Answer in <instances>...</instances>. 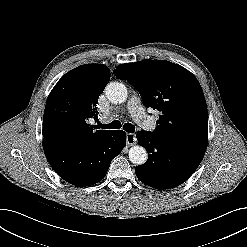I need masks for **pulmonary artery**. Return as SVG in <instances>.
I'll list each match as a JSON object with an SVG mask.
<instances>
[{"label":"pulmonary artery","mask_w":247,"mask_h":247,"mask_svg":"<svg viewBox=\"0 0 247 247\" xmlns=\"http://www.w3.org/2000/svg\"><path fill=\"white\" fill-rule=\"evenodd\" d=\"M127 110L140 127L149 132L154 130L153 119L145 114L141 101L135 94L129 98Z\"/></svg>","instance_id":"e3ab8cb5"}]
</instances>
